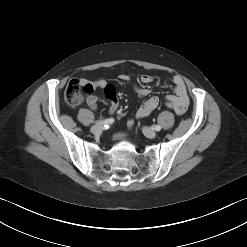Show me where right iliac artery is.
Masks as SVG:
<instances>
[{
    "instance_id": "1",
    "label": "right iliac artery",
    "mask_w": 247,
    "mask_h": 247,
    "mask_svg": "<svg viewBox=\"0 0 247 247\" xmlns=\"http://www.w3.org/2000/svg\"><path fill=\"white\" fill-rule=\"evenodd\" d=\"M114 122V119L110 118V119H106V120H101V121H96L95 123H102V124H110V123H113Z\"/></svg>"
}]
</instances>
